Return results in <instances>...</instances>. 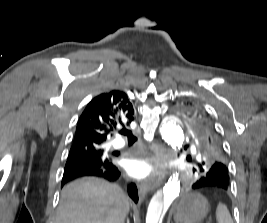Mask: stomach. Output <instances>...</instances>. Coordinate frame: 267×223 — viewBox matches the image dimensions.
I'll use <instances>...</instances> for the list:
<instances>
[{
	"label": "stomach",
	"instance_id": "0dacf381",
	"mask_svg": "<svg viewBox=\"0 0 267 223\" xmlns=\"http://www.w3.org/2000/svg\"><path fill=\"white\" fill-rule=\"evenodd\" d=\"M207 199L201 194H185L176 207V223H199L208 213Z\"/></svg>",
	"mask_w": 267,
	"mask_h": 223
}]
</instances>
